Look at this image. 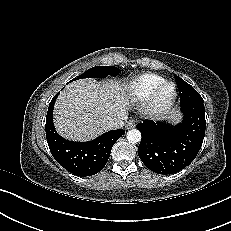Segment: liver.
<instances>
[{"mask_svg": "<svg viewBox=\"0 0 231 231\" xmlns=\"http://www.w3.org/2000/svg\"><path fill=\"white\" fill-rule=\"evenodd\" d=\"M128 106L126 87L119 82L80 79L59 94L54 106V125L66 139L91 140L106 132L107 121L126 113Z\"/></svg>", "mask_w": 231, "mask_h": 231, "instance_id": "liver-1", "label": "liver"}]
</instances>
